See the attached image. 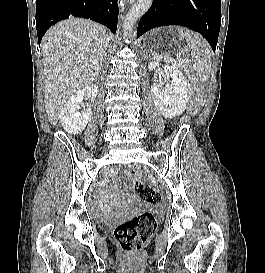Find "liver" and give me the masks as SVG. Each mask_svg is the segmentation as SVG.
Returning <instances> with one entry per match:
<instances>
[{"mask_svg": "<svg viewBox=\"0 0 265 273\" xmlns=\"http://www.w3.org/2000/svg\"><path fill=\"white\" fill-rule=\"evenodd\" d=\"M109 46L106 29L93 21L71 18L51 27L42 39L45 109L56 125L66 101L95 81Z\"/></svg>", "mask_w": 265, "mask_h": 273, "instance_id": "obj_1", "label": "liver"}]
</instances>
